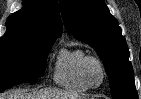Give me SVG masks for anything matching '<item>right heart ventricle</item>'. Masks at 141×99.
Wrapping results in <instances>:
<instances>
[{
    "label": "right heart ventricle",
    "instance_id": "e07e8e85",
    "mask_svg": "<svg viewBox=\"0 0 141 99\" xmlns=\"http://www.w3.org/2000/svg\"><path fill=\"white\" fill-rule=\"evenodd\" d=\"M87 56L82 48L62 49L56 59L53 80L60 87L83 93L90 88L84 83L80 74L83 59Z\"/></svg>",
    "mask_w": 141,
    "mask_h": 99
}]
</instances>
